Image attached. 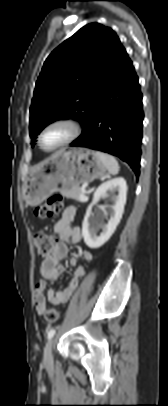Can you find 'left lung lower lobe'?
<instances>
[{
  "label": "left lung lower lobe",
  "instance_id": "left-lung-lower-lobe-1",
  "mask_svg": "<svg viewBox=\"0 0 168 406\" xmlns=\"http://www.w3.org/2000/svg\"><path fill=\"white\" fill-rule=\"evenodd\" d=\"M143 117L138 77L125 50L100 91L81 136L70 145L117 156L138 177Z\"/></svg>",
  "mask_w": 168,
  "mask_h": 406
}]
</instances>
